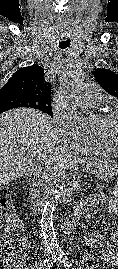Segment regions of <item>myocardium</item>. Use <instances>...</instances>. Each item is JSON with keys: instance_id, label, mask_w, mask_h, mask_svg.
Masks as SVG:
<instances>
[{"instance_id": "1", "label": "myocardium", "mask_w": 118, "mask_h": 269, "mask_svg": "<svg viewBox=\"0 0 118 269\" xmlns=\"http://www.w3.org/2000/svg\"><path fill=\"white\" fill-rule=\"evenodd\" d=\"M118 116V108H114L106 111L101 115V118L106 122L112 121L114 118ZM95 139H99L107 144L110 148H112L118 154V141L111 139L109 136L105 134H96Z\"/></svg>"}]
</instances>
